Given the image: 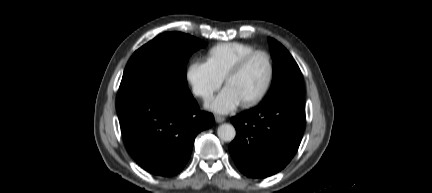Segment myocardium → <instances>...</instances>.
Instances as JSON below:
<instances>
[{
	"instance_id": "1",
	"label": "myocardium",
	"mask_w": 432,
	"mask_h": 193,
	"mask_svg": "<svg viewBox=\"0 0 432 193\" xmlns=\"http://www.w3.org/2000/svg\"><path fill=\"white\" fill-rule=\"evenodd\" d=\"M258 55H263L266 57L267 62H268V78L267 81L263 87V89L260 91V93L258 95H256L254 98L245 101L242 103V106L244 108H251L254 107L256 105H258L259 103H261L266 96L268 95L273 81H274V77H275V65H274V60L273 57L271 55V53L265 49H255L252 52L248 53L246 56H244L241 60H239L227 73L226 77H225V86H228L229 82L236 76L238 75L249 63L250 61L258 56Z\"/></svg>"
}]
</instances>
